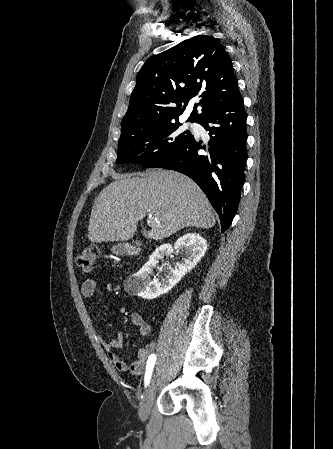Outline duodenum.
<instances>
[{
	"instance_id": "410a0bca",
	"label": "duodenum",
	"mask_w": 333,
	"mask_h": 449,
	"mask_svg": "<svg viewBox=\"0 0 333 449\" xmlns=\"http://www.w3.org/2000/svg\"><path fill=\"white\" fill-rule=\"evenodd\" d=\"M136 251L133 248H128V253L134 254Z\"/></svg>"
}]
</instances>
